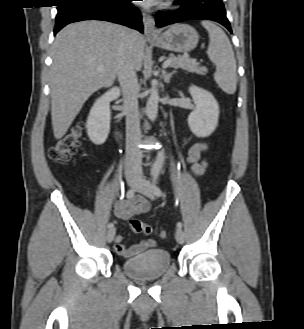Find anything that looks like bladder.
<instances>
[{"label":"bladder","mask_w":304,"mask_h":329,"mask_svg":"<svg viewBox=\"0 0 304 329\" xmlns=\"http://www.w3.org/2000/svg\"><path fill=\"white\" fill-rule=\"evenodd\" d=\"M170 254L161 249H150L138 256L128 258L122 262L124 271L137 279L159 278L169 268Z\"/></svg>","instance_id":"bladder-1"}]
</instances>
